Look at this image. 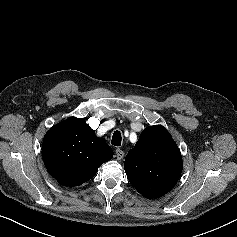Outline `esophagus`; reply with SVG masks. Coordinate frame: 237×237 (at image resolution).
Returning a JSON list of instances; mask_svg holds the SVG:
<instances>
[{"label": "esophagus", "instance_id": "obj_1", "mask_svg": "<svg viewBox=\"0 0 237 237\" xmlns=\"http://www.w3.org/2000/svg\"><path fill=\"white\" fill-rule=\"evenodd\" d=\"M115 154L117 160H121L124 157V151L122 149H116Z\"/></svg>", "mask_w": 237, "mask_h": 237}]
</instances>
